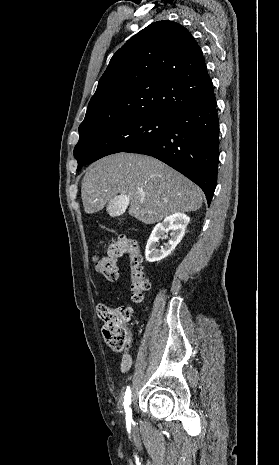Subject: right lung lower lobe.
I'll return each mask as SVG.
<instances>
[{
    "label": "right lung lower lobe",
    "instance_id": "98d812e1",
    "mask_svg": "<svg viewBox=\"0 0 279 465\" xmlns=\"http://www.w3.org/2000/svg\"><path fill=\"white\" fill-rule=\"evenodd\" d=\"M168 130L133 153L153 156L195 182L210 205L219 164V119L213 85L201 101L170 115Z\"/></svg>",
    "mask_w": 279,
    "mask_h": 465
}]
</instances>
